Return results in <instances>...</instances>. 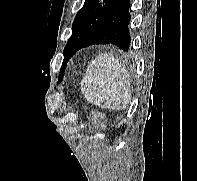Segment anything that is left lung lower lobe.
Returning a JSON list of instances; mask_svg holds the SVG:
<instances>
[{
	"mask_svg": "<svg viewBox=\"0 0 197 181\" xmlns=\"http://www.w3.org/2000/svg\"><path fill=\"white\" fill-rule=\"evenodd\" d=\"M129 8L130 0H113L83 47L112 44L128 51L131 42Z\"/></svg>",
	"mask_w": 197,
	"mask_h": 181,
	"instance_id": "left-lung-lower-lobe-1",
	"label": "left lung lower lobe"
}]
</instances>
